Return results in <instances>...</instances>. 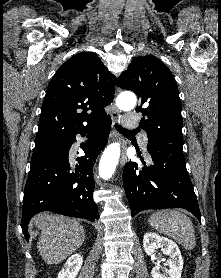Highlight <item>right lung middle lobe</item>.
Instances as JSON below:
<instances>
[{
	"mask_svg": "<svg viewBox=\"0 0 221 278\" xmlns=\"http://www.w3.org/2000/svg\"><path fill=\"white\" fill-rule=\"evenodd\" d=\"M55 143L57 142H54V143H50V144H47V145H43V146H40V147H36L34 149V152H33V155H32V160H31V163L39 160L41 158V156L43 155V153L49 149L52 145H54Z\"/></svg>",
	"mask_w": 221,
	"mask_h": 278,
	"instance_id": "dd1d6c3e",
	"label": "right lung middle lobe"
}]
</instances>
